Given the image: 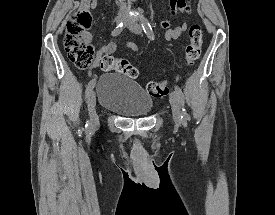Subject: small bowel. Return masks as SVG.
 Wrapping results in <instances>:
<instances>
[{"instance_id":"small-bowel-1","label":"small bowel","mask_w":275,"mask_h":215,"mask_svg":"<svg viewBox=\"0 0 275 215\" xmlns=\"http://www.w3.org/2000/svg\"><path fill=\"white\" fill-rule=\"evenodd\" d=\"M170 3V11L172 16H176L178 12L183 14H188L191 11V3L190 0H169ZM98 6V0H92L90 7L95 9ZM161 27L166 29L165 39L167 41L178 39L186 30L187 24L180 23L174 28L171 27V22L169 20H163L160 23ZM89 41H91V36L88 34ZM120 45V43L116 41H112L109 44L103 46L96 52V58L90 65L91 68L97 67L100 64L101 57L104 54H110L116 50V48ZM125 46L131 51H137L138 46L136 43L129 41L125 43Z\"/></svg>"}]
</instances>
